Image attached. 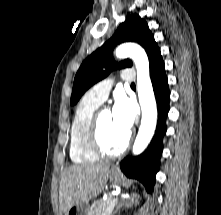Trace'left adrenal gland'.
Wrapping results in <instances>:
<instances>
[{
    "label": "left adrenal gland",
    "instance_id": "1",
    "mask_svg": "<svg viewBox=\"0 0 221 215\" xmlns=\"http://www.w3.org/2000/svg\"><path fill=\"white\" fill-rule=\"evenodd\" d=\"M134 197H135V195H133L132 197H129L127 199H122L121 202H119L117 204L115 212H118L123 206H125L127 208L132 206V204L134 203Z\"/></svg>",
    "mask_w": 221,
    "mask_h": 215
}]
</instances>
